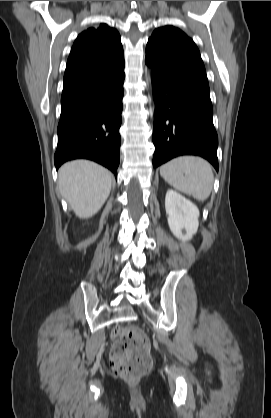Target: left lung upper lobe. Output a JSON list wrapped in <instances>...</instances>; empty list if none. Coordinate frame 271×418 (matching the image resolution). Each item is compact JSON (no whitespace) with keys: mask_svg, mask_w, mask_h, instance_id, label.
<instances>
[{"mask_svg":"<svg viewBox=\"0 0 271 418\" xmlns=\"http://www.w3.org/2000/svg\"><path fill=\"white\" fill-rule=\"evenodd\" d=\"M149 41L156 43L170 54L205 69L197 46L180 29L173 26L158 28L152 33Z\"/></svg>","mask_w":271,"mask_h":418,"instance_id":"1","label":"left lung upper lobe"}]
</instances>
